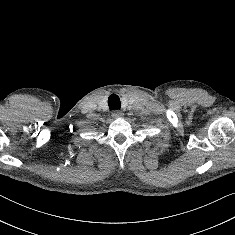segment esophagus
<instances>
[{"label": "esophagus", "mask_w": 235, "mask_h": 235, "mask_svg": "<svg viewBox=\"0 0 235 235\" xmlns=\"http://www.w3.org/2000/svg\"><path fill=\"white\" fill-rule=\"evenodd\" d=\"M122 116H123V113L121 111H119V110H114L112 112V117L113 118H118V117H122Z\"/></svg>", "instance_id": "esophagus-1"}]
</instances>
